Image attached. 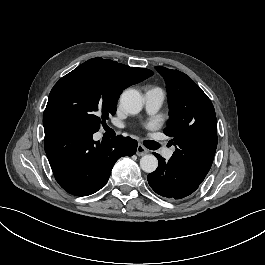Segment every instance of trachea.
<instances>
[{"instance_id":"3493384b","label":"trachea","mask_w":265,"mask_h":265,"mask_svg":"<svg viewBox=\"0 0 265 265\" xmlns=\"http://www.w3.org/2000/svg\"><path fill=\"white\" fill-rule=\"evenodd\" d=\"M151 145L153 146V150H155L156 148H158V143H156L155 141H150Z\"/></svg>"}]
</instances>
